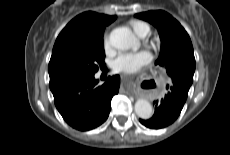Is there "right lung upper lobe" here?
Wrapping results in <instances>:
<instances>
[{"label": "right lung upper lobe", "mask_w": 230, "mask_h": 155, "mask_svg": "<svg viewBox=\"0 0 230 155\" xmlns=\"http://www.w3.org/2000/svg\"><path fill=\"white\" fill-rule=\"evenodd\" d=\"M116 18L91 11L76 16L57 37L52 53L63 48L93 47L103 43L105 27Z\"/></svg>", "instance_id": "obj_1"}]
</instances>
